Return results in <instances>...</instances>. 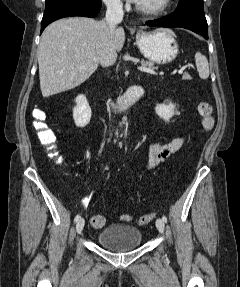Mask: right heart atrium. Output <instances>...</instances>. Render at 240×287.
<instances>
[{"mask_svg": "<svg viewBox=\"0 0 240 287\" xmlns=\"http://www.w3.org/2000/svg\"><path fill=\"white\" fill-rule=\"evenodd\" d=\"M107 7L111 9H121L124 5L123 0H103Z\"/></svg>", "mask_w": 240, "mask_h": 287, "instance_id": "d8ad5b80", "label": "right heart atrium"}]
</instances>
